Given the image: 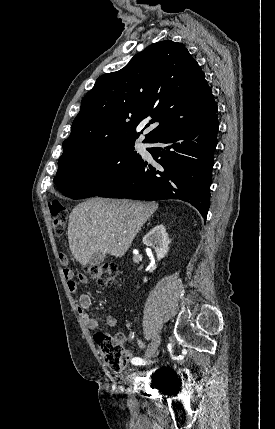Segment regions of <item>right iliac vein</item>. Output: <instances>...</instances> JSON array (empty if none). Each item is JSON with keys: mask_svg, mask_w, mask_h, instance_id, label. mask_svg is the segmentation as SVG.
<instances>
[{"mask_svg": "<svg viewBox=\"0 0 275 429\" xmlns=\"http://www.w3.org/2000/svg\"><path fill=\"white\" fill-rule=\"evenodd\" d=\"M159 344H160V336L156 335L152 339V342H151V344H150V346H149V348H148V350H147V352L145 354V358L146 359H149V358H151V357L154 356V354L156 353V350H157Z\"/></svg>", "mask_w": 275, "mask_h": 429, "instance_id": "63e3f726", "label": "right iliac vein"}]
</instances>
